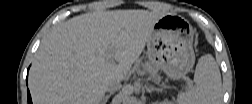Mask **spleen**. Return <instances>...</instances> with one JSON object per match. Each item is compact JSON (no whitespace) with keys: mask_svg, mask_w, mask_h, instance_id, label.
Instances as JSON below:
<instances>
[{"mask_svg":"<svg viewBox=\"0 0 252 104\" xmlns=\"http://www.w3.org/2000/svg\"><path fill=\"white\" fill-rule=\"evenodd\" d=\"M194 85L178 95L181 104H218L222 98L219 67L211 54L202 56L194 74Z\"/></svg>","mask_w":252,"mask_h":104,"instance_id":"obj_1","label":"spleen"}]
</instances>
